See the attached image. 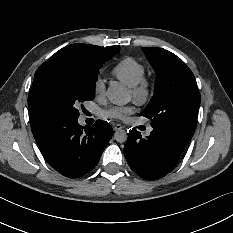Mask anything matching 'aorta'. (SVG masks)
Wrapping results in <instances>:
<instances>
[{
    "label": "aorta",
    "mask_w": 233,
    "mask_h": 233,
    "mask_svg": "<svg viewBox=\"0 0 233 233\" xmlns=\"http://www.w3.org/2000/svg\"><path fill=\"white\" fill-rule=\"evenodd\" d=\"M107 97L112 104L115 105H126L131 100V94L126 86L119 82H112L107 89ZM127 133L125 130L121 129L114 133V138L117 142L123 143L127 140Z\"/></svg>",
    "instance_id": "762f6f07"
}]
</instances>
